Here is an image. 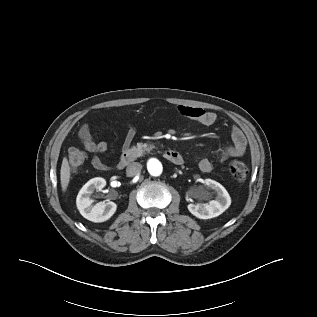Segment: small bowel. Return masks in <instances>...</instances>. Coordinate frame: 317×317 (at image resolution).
Segmentation results:
<instances>
[{
  "label": "small bowel",
  "instance_id": "obj_1",
  "mask_svg": "<svg viewBox=\"0 0 317 317\" xmlns=\"http://www.w3.org/2000/svg\"><path fill=\"white\" fill-rule=\"evenodd\" d=\"M178 113L187 118L198 121L199 123L210 126L217 120V116L214 112L207 111L200 107L180 105L177 107ZM136 135V129L129 125L127 133L125 135L123 146L127 147L131 144ZM231 144L218 151V159L221 162L228 160L229 158L239 157L245 154L247 149V139L243 131L232 125L230 128ZM78 136L81 139L85 150L92 153V165L98 170H106L107 165L102 161L101 155L107 151L108 145L104 141H95L90 133V129L87 125H83L78 132ZM198 167L202 172L209 173L214 169L213 162L208 158H203L199 161Z\"/></svg>",
  "mask_w": 317,
  "mask_h": 317
}]
</instances>
